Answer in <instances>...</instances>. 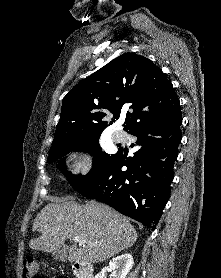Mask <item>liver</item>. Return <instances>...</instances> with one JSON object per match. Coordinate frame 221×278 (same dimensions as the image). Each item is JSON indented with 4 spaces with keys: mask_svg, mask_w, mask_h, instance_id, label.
<instances>
[{
    "mask_svg": "<svg viewBox=\"0 0 221 278\" xmlns=\"http://www.w3.org/2000/svg\"><path fill=\"white\" fill-rule=\"evenodd\" d=\"M32 231L41 236L31 239L29 247L54 253L66 239L79 237L86 242L68 250L71 263H99L131 247L137 232L130 222L112 208L89 201L85 205L72 199H53L36 216Z\"/></svg>",
    "mask_w": 221,
    "mask_h": 278,
    "instance_id": "obj_1",
    "label": "liver"
}]
</instances>
